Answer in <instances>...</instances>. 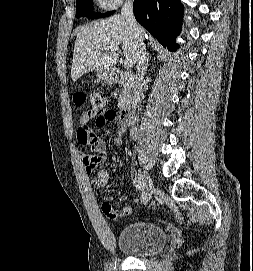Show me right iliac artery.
Instances as JSON below:
<instances>
[{
  "label": "right iliac artery",
  "instance_id": "obj_1",
  "mask_svg": "<svg viewBox=\"0 0 253 271\" xmlns=\"http://www.w3.org/2000/svg\"><path fill=\"white\" fill-rule=\"evenodd\" d=\"M133 184L136 187V189L139 190L140 192L143 190V185L139 178L135 177L133 179Z\"/></svg>",
  "mask_w": 253,
  "mask_h": 271
}]
</instances>
